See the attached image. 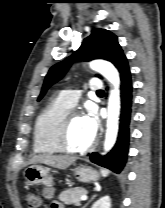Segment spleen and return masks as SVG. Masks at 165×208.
<instances>
[{
	"mask_svg": "<svg viewBox=\"0 0 165 208\" xmlns=\"http://www.w3.org/2000/svg\"><path fill=\"white\" fill-rule=\"evenodd\" d=\"M101 174L103 177H107L109 175V171L106 169H101Z\"/></svg>",
	"mask_w": 165,
	"mask_h": 208,
	"instance_id": "obj_1",
	"label": "spleen"
}]
</instances>
